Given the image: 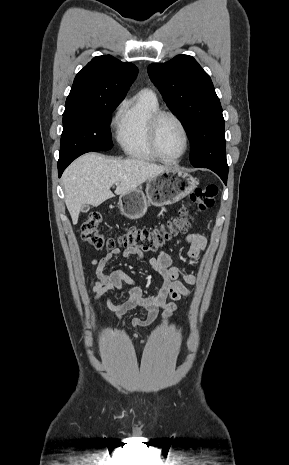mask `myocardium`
<instances>
[{
    "mask_svg": "<svg viewBox=\"0 0 289 465\" xmlns=\"http://www.w3.org/2000/svg\"><path fill=\"white\" fill-rule=\"evenodd\" d=\"M166 117H170V118L174 119L178 123V125L180 126V128H181V130L183 132L184 140H185V145H184V149H183L182 153L179 156H177L176 158H173V159H168V158L164 157L163 154L160 151V148H159L160 125H161V122L163 121V119L166 118ZM149 143H150V147L152 149V152L154 153V155L159 160H161L162 162L171 164V163H176V162L180 161L186 155V153L188 152L189 147H190V135H189V131H188L185 123L183 122V120L177 114H175L172 111L159 110L151 117V120H150V123H149Z\"/></svg>",
    "mask_w": 289,
    "mask_h": 465,
    "instance_id": "myocardium-1",
    "label": "myocardium"
}]
</instances>
